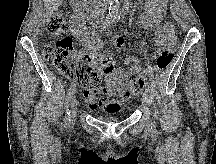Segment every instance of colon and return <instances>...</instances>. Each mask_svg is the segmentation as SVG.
<instances>
[{
    "label": "colon",
    "mask_w": 216,
    "mask_h": 164,
    "mask_svg": "<svg viewBox=\"0 0 216 164\" xmlns=\"http://www.w3.org/2000/svg\"><path fill=\"white\" fill-rule=\"evenodd\" d=\"M76 26L72 15L63 12L55 14L47 24L50 36L54 39L44 48L46 60L51 63L62 75L74 81L84 90L98 87L103 69L92 65H82L77 62L73 53V42L70 32ZM176 34L174 29L168 33L167 47L157 56L154 70L161 72L167 69L174 59L176 48ZM149 70L145 69L131 82V92H142Z\"/></svg>",
    "instance_id": "obj_1"
}]
</instances>
